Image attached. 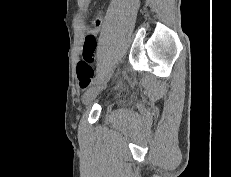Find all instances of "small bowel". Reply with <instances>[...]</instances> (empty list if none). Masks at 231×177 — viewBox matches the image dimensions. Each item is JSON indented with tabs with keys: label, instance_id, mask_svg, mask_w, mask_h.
Returning <instances> with one entry per match:
<instances>
[{
	"label": "small bowel",
	"instance_id": "1",
	"mask_svg": "<svg viewBox=\"0 0 231 177\" xmlns=\"http://www.w3.org/2000/svg\"><path fill=\"white\" fill-rule=\"evenodd\" d=\"M89 1H90V0H87V3H89ZM102 23H103L102 17H101V16H97V17L94 19V21H93V28L87 29L85 26H82V31L86 33V37H87V35H89V34H92V35L95 36V35L99 32ZM86 37H85V38H86Z\"/></svg>",
	"mask_w": 231,
	"mask_h": 177
}]
</instances>
